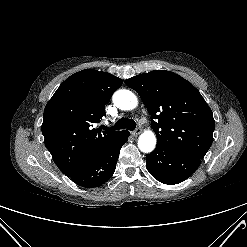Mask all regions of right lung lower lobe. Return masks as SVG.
Masks as SVG:
<instances>
[{"label":"right lung lower lobe","mask_w":247,"mask_h":247,"mask_svg":"<svg viewBox=\"0 0 247 247\" xmlns=\"http://www.w3.org/2000/svg\"><path fill=\"white\" fill-rule=\"evenodd\" d=\"M130 133L123 131L110 144L101 149L82 168L70 176L77 185L94 188L105 183L114 173L120 148L127 141Z\"/></svg>","instance_id":"right-lung-lower-lobe-1"}]
</instances>
